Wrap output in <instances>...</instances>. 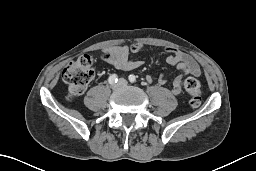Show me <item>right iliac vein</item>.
<instances>
[{
    "label": "right iliac vein",
    "mask_w": 256,
    "mask_h": 171,
    "mask_svg": "<svg viewBox=\"0 0 256 171\" xmlns=\"http://www.w3.org/2000/svg\"><path fill=\"white\" fill-rule=\"evenodd\" d=\"M111 87H112L113 90H117L120 87V84L118 82V83L112 84Z\"/></svg>",
    "instance_id": "63e3f726"
}]
</instances>
